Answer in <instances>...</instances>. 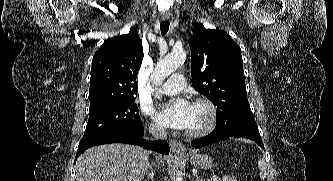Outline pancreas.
I'll return each mask as SVG.
<instances>
[{
	"label": "pancreas",
	"mask_w": 333,
	"mask_h": 181,
	"mask_svg": "<svg viewBox=\"0 0 333 181\" xmlns=\"http://www.w3.org/2000/svg\"><path fill=\"white\" fill-rule=\"evenodd\" d=\"M220 181H237L235 177L224 176Z\"/></svg>",
	"instance_id": "cf45deb5"
}]
</instances>
